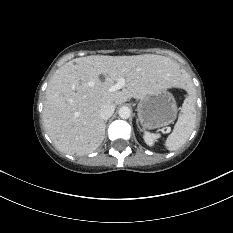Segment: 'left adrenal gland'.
Wrapping results in <instances>:
<instances>
[{
  "instance_id": "left-adrenal-gland-1",
  "label": "left adrenal gland",
  "mask_w": 233,
  "mask_h": 233,
  "mask_svg": "<svg viewBox=\"0 0 233 233\" xmlns=\"http://www.w3.org/2000/svg\"><path fill=\"white\" fill-rule=\"evenodd\" d=\"M136 123H137V127L139 128V130H141V128H140V126H139V124H138V121H136Z\"/></svg>"
}]
</instances>
